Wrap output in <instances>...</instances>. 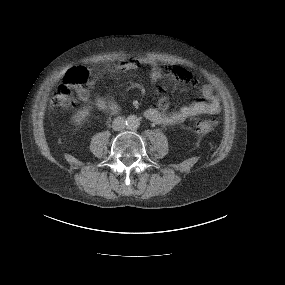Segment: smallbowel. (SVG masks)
I'll return each mask as SVG.
<instances>
[{"mask_svg": "<svg viewBox=\"0 0 285 285\" xmlns=\"http://www.w3.org/2000/svg\"><path fill=\"white\" fill-rule=\"evenodd\" d=\"M144 64H148L152 67V77L154 80H158L161 77V73L157 68V63L152 57H145L142 59ZM137 68L131 64L118 63L115 66L117 71H126ZM186 70V69H185ZM187 71V70H186ZM180 79L184 82H192L193 77L187 71L186 75H180ZM94 87V81H90L86 87H79L77 94L83 102H89L91 100V90ZM198 91L203 98L202 101L194 102L181 109L168 112V101L165 96H153L152 106L145 111V117L150 121L159 125H176L184 122L188 118L196 117L203 114H216L220 111L219 99L213 94V88L209 84H203L198 88ZM96 107L102 111L117 113L120 110V106L114 100L104 96H97L94 100Z\"/></svg>", "mask_w": 285, "mask_h": 285, "instance_id": "1", "label": "small bowel"}]
</instances>
